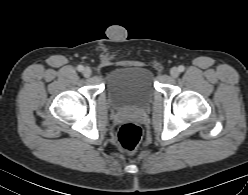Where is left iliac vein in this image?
<instances>
[{"label":"left iliac vein","instance_id":"1","mask_svg":"<svg viewBox=\"0 0 248 195\" xmlns=\"http://www.w3.org/2000/svg\"><path fill=\"white\" fill-rule=\"evenodd\" d=\"M180 74V71L177 67H173L171 70H170V75L173 77V78H177Z\"/></svg>","mask_w":248,"mask_h":195}]
</instances>
